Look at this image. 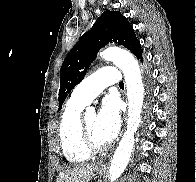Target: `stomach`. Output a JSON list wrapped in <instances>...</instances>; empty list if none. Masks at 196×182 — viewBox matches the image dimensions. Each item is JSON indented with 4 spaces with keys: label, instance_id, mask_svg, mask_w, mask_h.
Segmentation results:
<instances>
[{
    "label": "stomach",
    "instance_id": "stomach-1",
    "mask_svg": "<svg viewBox=\"0 0 196 182\" xmlns=\"http://www.w3.org/2000/svg\"><path fill=\"white\" fill-rule=\"evenodd\" d=\"M95 170H96V173L100 176L104 174V169L101 168L100 166H96Z\"/></svg>",
    "mask_w": 196,
    "mask_h": 182
}]
</instances>
